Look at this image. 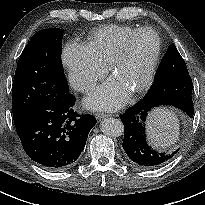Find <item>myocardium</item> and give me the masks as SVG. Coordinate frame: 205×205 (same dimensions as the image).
<instances>
[{
	"instance_id": "myocardium-1",
	"label": "myocardium",
	"mask_w": 205,
	"mask_h": 205,
	"mask_svg": "<svg viewBox=\"0 0 205 205\" xmlns=\"http://www.w3.org/2000/svg\"><path fill=\"white\" fill-rule=\"evenodd\" d=\"M143 33L153 34L156 38L157 44H156L155 53H154V55L150 61V64H149L147 74H146L144 80L142 81V83L140 85H138L137 87H135L134 89H132L133 93H139V92L144 91L145 89H147L150 86V84L153 81V78H154L155 73H156L157 65H158V62H159V59L161 56V51H162V42H161V38L158 35V33L155 30H153L152 28H147V27L137 29L136 31H134L133 33H131L130 35H128L124 39L120 49L113 56V58L109 64V70L114 75L119 64L127 57L132 41L136 37H138L140 34H143Z\"/></svg>"
}]
</instances>
